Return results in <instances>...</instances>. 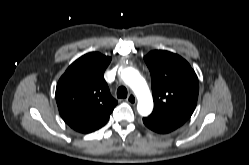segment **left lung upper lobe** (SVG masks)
Masks as SVG:
<instances>
[{
	"label": "left lung upper lobe",
	"instance_id": "1",
	"mask_svg": "<svg viewBox=\"0 0 249 165\" xmlns=\"http://www.w3.org/2000/svg\"><path fill=\"white\" fill-rule=\"evenodd\" d=\"M144 60L151 73L154 100L150 117L183 125L197 104L196 73L185 59L168 51H151Z\"/></svg>",
	"mask_w": 249,
	"mask_h": 165
}]
</instances>
